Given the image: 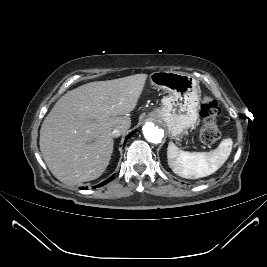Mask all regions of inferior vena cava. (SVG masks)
<instances>
[{"mask_svg": "<svg viewBox=\"0 0 267 267\" xmlns=\"http://www.w3.org/2000/svg\"><path fill=\"white\" fill-rule=\"evenodd\" d=\"M125 130V126H116L111 130V135L113 137H118L120 136Z\"/></svg>", "mask_w": 267, "mask_h": 267, "instance_id": "obj_1", "label": "inferior vena cava"}]
</instances>
